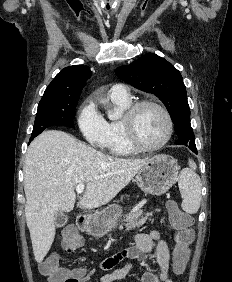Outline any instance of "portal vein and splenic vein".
Segmentation results:
<instances>
[{
	"instance_id": "18ae733b",
	"label": "portal vein and splenic vein",
	"mask_w": 232,
	"mask_h": 282,
	"mask_svg": "<svg viewBox=\"0 0 232 282\" xmlns=\"http://www.w3.org/2000/svg\"><path fill=\"white\" fill-rule=\"evenodd\" d=\"M84 188H85V185L84 184H78L76 186V192L77 194H82L84 192Z\"/></svg>"
}]
</instances>
